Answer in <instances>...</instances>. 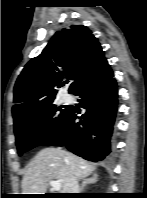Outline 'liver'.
Segmentation results:
<instances>
[{
  "label": "liver",
  "mask_w": 147,
  "mask_h": 198,
  "mask_svg": "<svg viewBox=\"0 0 147 198\" xmlns=\"http://www.w3.org/2000/svg\"><path fill=\"white\" fill-rule=\"evenodd\" d=\"M94 170L92 163L62 148H44L32 159L24 173L22 194H45L51 180L60 181L62 193H69L72 176L82 179Z\"/></svg>",
  "instance_id": "liver-1"
}]
</instances>
